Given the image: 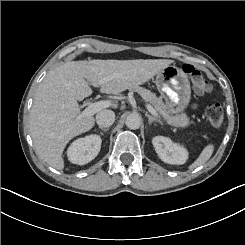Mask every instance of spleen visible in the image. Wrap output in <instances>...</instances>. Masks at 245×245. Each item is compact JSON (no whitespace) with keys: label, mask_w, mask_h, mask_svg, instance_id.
I'll use <instances>...</instances> for the list:
<instances>
[{"label":"spleen","mask_w":245,"mask_h":245,"mask_svg":"<svg viewBox=\"0 0 245 245\" xmlns=\"http://www.w3.org/2000/svg\"><path fill=\"white\" fill-rule=\"evenodd\" d=\"M212 148L207 147L199 156V158L191 165V168H196L204 164L211 156Z\"/></svg>","instance_id":"1"}]
</instances>
